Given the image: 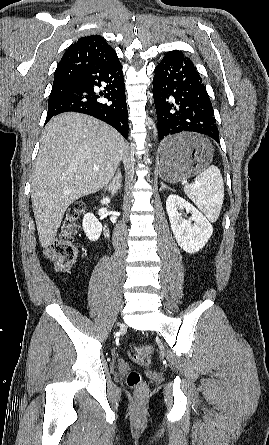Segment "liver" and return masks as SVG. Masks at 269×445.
Wrapping results in <instances>:
<instances>
[{
    "mask_svg": "<svg viewBox=\"0 0 269 445\" xmlns=\"http://www.w3.org/2000/svg\"><path fill=\"white\" fill-rule=\"evenodd\" d=\"M125 150L119 132L91 116L68 112L46 125L31 179L32 207L43 248L53 242L73 202L107 186Z\"/></svg>",
    "mask_w": 269,
    "mask_h": 445,
    "instance_id": "1",
    "label": "liver"
}]
</instances>
